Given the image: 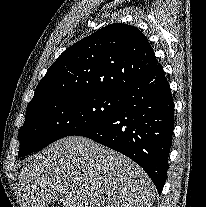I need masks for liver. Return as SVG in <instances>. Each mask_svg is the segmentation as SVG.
Instances as JSON below:
<instances>
[{"mask_svg":"<svg viewBox=\"0 0 206 207\" xmlns=\"http://www.w3.org/2000/svg\"><path fill=\"white\" fill-rule=\"evenodd\" d=\"M28 207H151L155 186L126 156L81 136L29 157L19 174Z\"/></svg>","mask_w":206,"mask_h":207,"instance_id":"1","label":"liver"}]
</instances>
